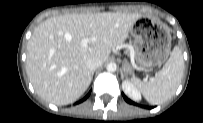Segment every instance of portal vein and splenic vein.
Here are the masks:
<instances>
[{"label": "portal vein and splenic vein", "instance_id": "18ae733b", "mask_svg": "<svg viewBox=\"0 0 203 123\" xmlns=\"http://www.w3.org/2000/svg\"><path fill=\"white\" fill-rule=\"evenodd\" d=\"M90 40H94V38H92V39H88V38L83 39L81 41L82 46L87 47Z\"/></svg>", "mask_w": 203, "mask_h": 123}]
</instances>
